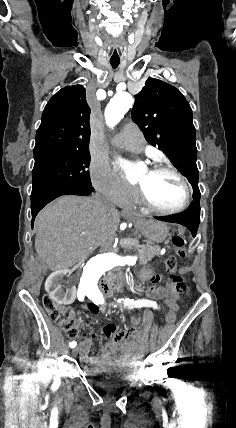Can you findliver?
<instances>
[{
    "mask_svg": "<svg viewBox=\"0 0 236 428\" xmlns=\"http://www.w3.org/2000/svg\"><path fill=\"white\" fill-rule=\"evenodd\" d=\"M119 222L102 198L61 196L35 220V250L50 270L70 268L99 246L111 250Z\"/></svg>",
    "mask_w": 236,
    "mask_h": 428,
    "instance_id": "1",
    "label": "liver"
}]
</instances>
